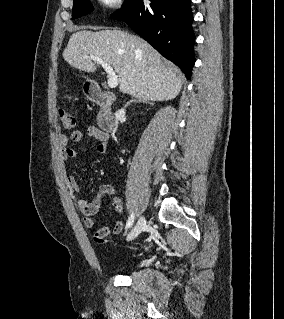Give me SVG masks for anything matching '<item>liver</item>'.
I'll use <instances>...</instances> for the list:
<instances>
[{"label": "liver", "instance_id": "obj_1", "mask_svg": "<svg viewBox=\"0 0 284 319\" xmlns=\"http://www.w3.org/2000/svg\"><path fill=\"white\" fill-rule=\"evenodd\" d=\"M92 56L112 65L119 79L120 92L146 101L174 99L181 91L183 75L164 60L144 39L118 30L73 33L63 58L84 72L97 70Z\"/></svg>", "mask_w": 284, "mask_h": 319}]
</instances>
